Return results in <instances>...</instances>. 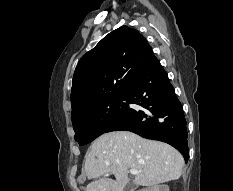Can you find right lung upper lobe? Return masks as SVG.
I'll use <instances>...</instances> for the list:
<instances>
[{"instance_id": "right-lung-upper-lobe-1", "label": "right lung upper lobe", "mask_w": 233, "mask_h": 191, "mask_svg": "<svg viewBox=\"0 0 233 191\" xmlns=\"http://www.w3.org/2000/svg\"><path fill=\"white\" fill-rule=\"evenodd\" d=\"M152 49L135 29L107 34L79 61L71 89L72 117L107 100L127 95L145 70Z\"/></svg>"}]
</instances>
